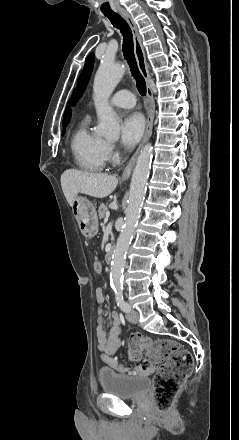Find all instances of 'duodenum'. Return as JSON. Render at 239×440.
<instances>
[{"label": "duodenum", "instance_id": "1", "mask_svg": "<svg viewBox=\"0 0 239 440\" xmlns=\"http://www.w3.org/2000/svg\"><path fill=\"white\" fill-rule=\"evenodd\" d=\"M113 254H114V248H110L107 253H106V261L108 263L111 262L112 258H113Z\"/></svg>", "mask_w": 239, "mask_h": 440}]
</instances>
